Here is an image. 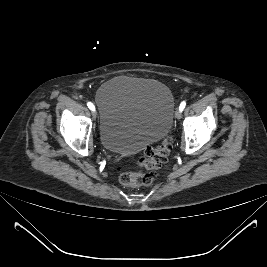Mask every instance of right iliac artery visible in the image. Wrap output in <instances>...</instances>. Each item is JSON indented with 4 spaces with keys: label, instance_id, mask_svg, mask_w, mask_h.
<instances>
[{
    "label": "right iliac artery",
    "instance_id": "obj_1",
    "mask_svg": "<svg viewBox=\"0 0 267 267\" xmlns=\"http://www.w3.org/2000/svg\"><path fill=\"white\" fill-rule=\"evenodd\" d=\"M87 106H88L89 109H91L92 111L95 110V107H94V105H93L91 102L87 103Z\"/></svg>",
    "mask_w": 267,
    "mask_h": 267
}]
</instances>
